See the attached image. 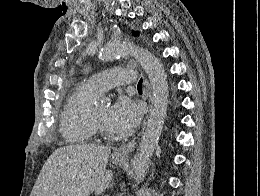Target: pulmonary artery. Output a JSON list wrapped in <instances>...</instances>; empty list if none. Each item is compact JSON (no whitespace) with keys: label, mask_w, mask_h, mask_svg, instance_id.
<instances>
[{"label":"pulmonary artery","mask_w":260,"mask_h":196,"mask_svg":"<svg viewBox=\"0 0 260 196\" xmlns=\"http://www.w3.org/2000/svg\"><path fill=\"white\" fill-rule=\"evenodd\" d=\"M135 73V69H102L99 76L90 79V84H97L92 85V88L101 95L106 90L111 89V84H134L136 77L130 76V74Z\"/></svg>","instance_id":"obj_1"}]
</instances>
